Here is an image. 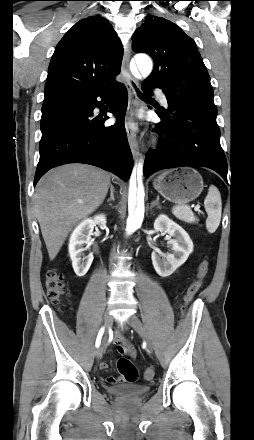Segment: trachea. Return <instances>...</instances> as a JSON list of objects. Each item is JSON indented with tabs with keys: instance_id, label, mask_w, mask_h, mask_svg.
Returning a JSON list of instances; mask_svg holds the SVG:
<instances>
[{
	"instance_id": "3493384b",
	"label": "trachea",
	"mask_w": 254,
	"mask_h": 440,
	"mask_svg": "<svg viewBox=\"0 0 254 440\" xmlns=\"http://www.w3.org/2000/svg\"><path fill=\"white\" fill-rule=\"evenodd\" d=\"M137 92H138V94H139L140 97H142V98H148L147 96L143 95L138 89H137Z\"/></svg>"
}]
</instances>
